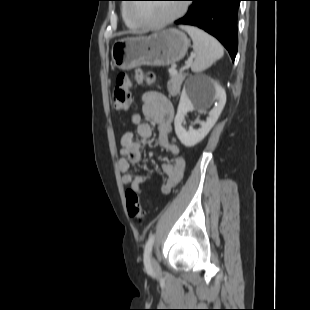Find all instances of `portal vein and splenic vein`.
Returning <instances> with one entry per match:
<instances>
[{
  "label": "portal vein and splenic vein",
  "mask_w": 310,
  "mask_h": 310,
  "mask_svg": "<svg viewBox=\"0 0 310 310\" xmlns=\"http://www.w3.org/2000/svg\"><path fill=\"white\" fill-rule=\"evenodd\" d=\"M195 57V55L192 56V58ZM192 59H189V61L187 62V65L185 66V68L189 67L190 63H191ZM170 72H174L175 70L171 69Z\"/></svg>",
  "instance_id": "1"
}]
</instances>
